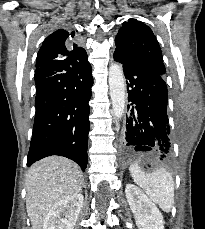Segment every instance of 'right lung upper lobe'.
<instances>
[{
  "mask_svg": "<svg viewBox=\"0 0 205 229\" xmlns=\"http://www.w3.org/2000/svg\"><path fill=\"white\" fill-rule=\"evenodd\" d=\"M75 32L63 29L49 35L43 42L36 60V68L61 60L72 70L89 65L86 51L75 43Z\"/></svg>",
  "mask_w": 205,
  "mask_h": 229,
  "instance_id": "obj_1",
  "label": "right lung upper lobe"
}]
</instances>
